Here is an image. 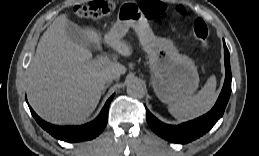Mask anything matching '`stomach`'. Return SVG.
Returning a JSON list of instances; mask_svg holds the SVG:
<instances>
[{"label":"stomach","mask_w":259,"mask_h":156,"mask_svg":"<svg viewBox=\"0 0 259 156\" xmlns=\"http://www.w3.org/2000/svg\"><path fill=\"white\" fill-rule=\"evenodd\" d=\"M130 27L136 30L148 54L151 83L158 98L169 105L189 99L199 85L194 61L179 54L171 40L156 37L139 8L126 3L119 10L117 22L110 32L123 37Z\"/></svg>","instance_id":"0dacf381"}]
</instances>
